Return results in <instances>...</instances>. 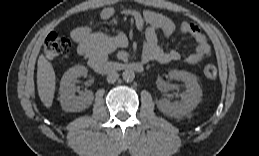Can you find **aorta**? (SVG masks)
Returning <instances> with one entry per match:
<instances>
[{"mask_svg": "<svg viewBox=\"0 0 259 156\" xmlns=\"http://www.w3.org/2000/svg\"><path fill=\"white\" fill-rule=\"evenodd\" d=\"M122 77L126 82H132L135 78V73L132 69H126L123 72Z\"/></svg>", "mask_w": 259, "mask_h": 156, "instance_id": "aorta-1", "label": "aorta"}]
</instances>
